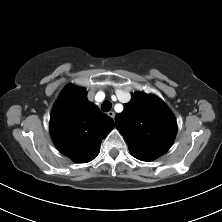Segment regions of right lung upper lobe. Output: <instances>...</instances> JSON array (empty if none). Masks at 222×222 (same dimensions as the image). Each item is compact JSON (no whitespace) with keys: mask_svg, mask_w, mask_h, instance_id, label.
<instances>
[{"mask_svg":"<svg viewBox=\"0 0 222 222\" xmlns=\"http://www.w3.org/2000/svg\"><path fill=\"white\" fill-rule=\"evenodd\" d=\"M114 121L87 100L86 90L67 85L50 117V134L58 150L77 163L93 160Z\"/></svg>","mask_w":222,"mask_h":222,"instance_id":"obj_1","label":"right lung upper lobe"}]
</instances>
